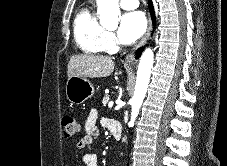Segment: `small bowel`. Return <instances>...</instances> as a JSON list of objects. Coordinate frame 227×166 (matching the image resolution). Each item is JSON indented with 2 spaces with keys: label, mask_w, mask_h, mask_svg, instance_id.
Listing matches in <instances>:
<instances>
[{
  "label": "small bowel",
  "mask_w": 227,
  "mask_h": 166,
  "mask_svg": "<svg viewBox=\"0 0 227 166\" xmlns=\"http://www.w3.org/2000/svg\"><path fill=\"white\" fill-rule=\"evenodd\" d=\"M100 116L96 109H91L88 113L85 126L84 134L77 143V149L82 150L92 145L93 142L99 137L100 131L96 125ZM106 125H109L108 119L103 120ZM98 155L95 153H85L82 156L84 166H97Z\"/></svg>",
  "instance_id": "1"
}]
</instances>
